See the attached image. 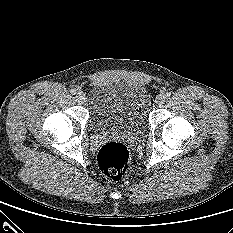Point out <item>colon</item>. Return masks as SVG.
Segmentation results:
<instances>
[{
	"instance_id": "colon-1",
	"label": "colon",
	"mask_w": 233,
	"mask_h": 233,
	"mask_svg": "<svg viewBox=\"0 0 233 233\" xmlns=\"http://www.w3.org/2000/svg\"><path fill=\"white\" fill-rule=\"evenodd\" d=\"M100 172L111 180H120L131 168L128 148L118 141L104 144L97 157Z\"/></svg>"
}]
</instances>
